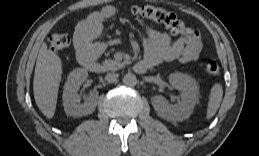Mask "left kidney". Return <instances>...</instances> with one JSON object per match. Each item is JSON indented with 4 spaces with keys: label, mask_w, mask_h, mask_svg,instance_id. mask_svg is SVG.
Returning a JSON list of instances; mask_svg holds the SVG:
<instances>
[{
    "label": "left kidney",
    "mask_w": 259,
    "mask_h": 156,
    "mask_svg": "<svg viewBox=\"0 0 259 156\" xmlns=\"http://www.w3.org/2000/svg\"><path fill=\"white\" fill-rule=\"evenodd\" d=\"M169 82L181 92V101L169 105L162 95H156L152 98V104L160 117L172 122L183 121L190 117L199 100L197 82L191 76L180 72L170 74Z\"/></svg>",
    "instance_id": "left-kidney-1"
}]
</instances>
